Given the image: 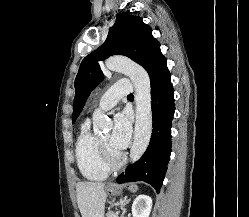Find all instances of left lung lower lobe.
I'll use <instances>...</instances> for the list:
<instances>
[{"instance_id": "0a47b994", "label": "left lung lower lobe", "mask_w": 249, "mask_h": 217, "mask_svg": "<svg viewBox=\"0 0 249 217\" xmlns=\"http://www.w3.org/2000/svg\"><path fill=\"white\" fill-rule=\"evenodd\" d=\"M153 130L144 155L117 178L118 183L144 181L157 193L162 186L171 154V121L173 119L174 90L171 75L164 59L150 76Z\"/></svg>"}]
</instances>
